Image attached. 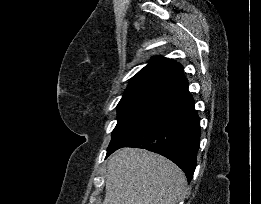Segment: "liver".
<instances>
[{"instance_id": "6515ba94", "label": "liver", "mask_w": 261, "mask_h": 204, "mask_svg": "<svg viewBox=\"0 0 261 204\" xmlns=\"http://www.w3.org/2000/svg\"><path fill=\"white\" fill-rule=\"evenodd\" d=\"M105 184L103 204H177L186 177L159 154L125 148L109 157Z\"/></svg>"}]
</instances>
